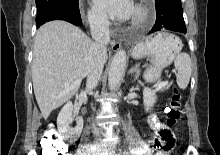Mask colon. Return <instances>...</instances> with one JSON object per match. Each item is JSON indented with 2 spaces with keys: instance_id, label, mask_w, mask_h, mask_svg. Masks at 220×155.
<instances>
[{
  "instance_id": "1",
  "label": "colon",
  "mask_w": 220,
  "mask_h": 155,
  "mask_svg": "<svg viewBox=\"0 0 220 155\" xmlns=\"http://www.w3.org/2000/svg\"><path fill=\"white\" fill-rule=\"evenodd\" d=\"M180 107L181 95L178 89L174 88L168 107L165 110L166 123L156 126L157 136L150 144V149L155 155H170L175 143L171 128L176 125L180 118ZM41 148H44L43 155H67L64 145L54 133L44 135V143H41Z\"/></svg>"
}]
</instances>
